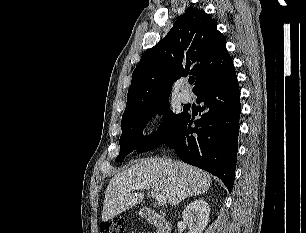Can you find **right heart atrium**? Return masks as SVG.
I'll return each instance as SVG.
<instances>
[{"label": "right heart atrium", "mask_w": 306, "mask_h": 233, "mask_svg": "<svg viewBox=\"0 0 306 233\" xmlns=\"http://www.w3.org/2000/svg\"><path fill=\"white\" fill-rule=\"evenodd\" d=\"M162 128H163V121L160 119H156L150 125L149 130H148V135L151 138H155L160 134Z\"/></svg>", "instance_id": "obj_1"}]
</instances>
